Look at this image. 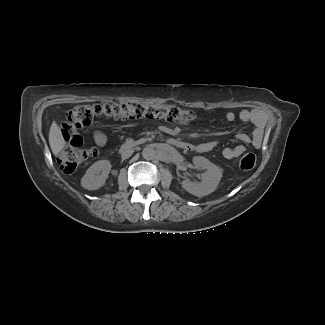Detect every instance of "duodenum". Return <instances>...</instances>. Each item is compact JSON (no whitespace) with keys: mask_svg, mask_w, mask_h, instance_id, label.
<instances>
[{"mask_svg":"<svg viewBox=\"0 0 325 325\" xmlns=\"http://www.w3.org/2000/svg\"><path fill=\"white\" fill-rule=\"evenodd\" d=\"M166 143L169 144L172 147L183 149V150H187V149H189L191 147V145L188 142L179 140L177 138H169V139H167ZM131 148H132V143L131 142L124 143L121 146L122 152H127Z\"/></svg>","mask_w":325,"mask_h":325,"instance_id":"1","label":"duodenum"}]
</instances>
